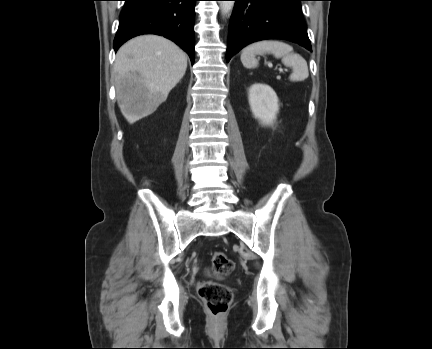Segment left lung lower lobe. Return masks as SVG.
<instances>
[{
    "label": "left lung lower lobe",
    "instance_id": "obj_1",
    "mask_svg": "<svg viewBox=\"0 0 432 349\" xmlns=\"http://www.w3.org/2000/svg\"><path fill=\"white\" fill-rule=\"evenodd\" d=\"M226 60L246 45L264 39H285L311 50L301 12L303 0H233Z\"/></svg>",
    "mask_w": 432,
    "mask_h": 349
}]
</instances>
